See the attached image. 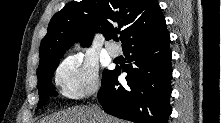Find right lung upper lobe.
Wrapping results in <instances>:
<instances>
[{
	"instance_id": "obj_1",
	"label": "right lung upper lobe",
	"mask_w": 221,
	"mask_h": 123,
	"mask_svg": "<svg viewBox=\"0 0 221 123\" xmlns=\"http://www.w3.org/2000/svg\"><path fill=\"white\" fill-rule=\"evenodd\" d=\"M97 32H102L106 40L120 35L123 51L135 43L156 40L168 33L157 0L72 2L52 17L41 42L38 69L60 59L76 41L89 46Z\"/></svg>"
}]
</instances>
